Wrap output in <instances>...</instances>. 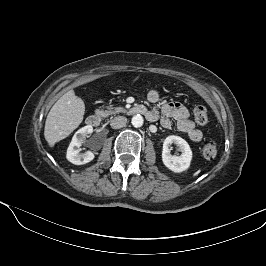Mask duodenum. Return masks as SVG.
I'll return each mask as SVG.
<instances>
[{
  "label": "duodenum",
  "mask_w": 266,
  "mask_h": 266,
  "mask_svg": "<svg viewBox=\"0 0 266 266\" xmlns=\"http://www.w3.org/2000/svg\"><path fill=\"white\" fill-rule=\"evenodd\" d=\"M129 113L133 114V115H135V114L146 115L147 110L144 106L137 105V106L132 107L129 110ZM86 124L90 127H93V128L99 127L101 124V118H100V116H98L96 114L89 115L86 118Z\"/></svg>",
  "instance_id": "duodenum-1"
}]
</instances>
